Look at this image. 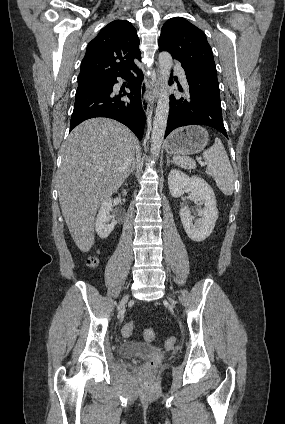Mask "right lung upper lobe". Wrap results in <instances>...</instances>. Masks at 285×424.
Masks as SVG:
<instances>
[{
    "label": "right lung upper lobe",
    "mask_w": 285,
    "mask_h": 424,
    "mask_svg": "<svg viewBox=\"0 0 285 424\" xmlns=\"http://www.w3.org/2000/svg\"><path fill=\"white\" fill-rule=\"evenodd\" d=\"M136 29L126 20L106 25L88 44L82 60L78 86L107 81L137 68L134 59L141 60Z\"/></svg>",
    "instance_id": "obj_1"
}]
</instances>
